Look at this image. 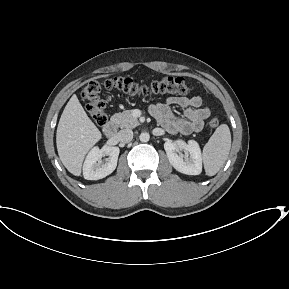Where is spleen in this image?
<instances>
[{"instance_id": "spleen-1", "label": "spleen", "mask_w": 289, "mask_h": 289, "mask_svg": "<svg viewBox=\"0 0 289 289\" xmlns=\"http://www.w3.org/2000/svg\"><path fill=\"white\" fill-rule=\"evenodd\" d=\"M231 148V133L228 125L221 124L203 148V163L206 175L214 176L224 165Z\"/></svg>"}]
</instances>
